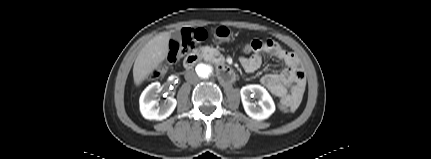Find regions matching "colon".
<instances>
[{
    "mask_svg": "<svg viewBox=\"0 0 431 159\" xmlns=\"http://www.w3.org/2000/svg\"><path fill=\"white\" fill-rule=\"evenodd\" d=\"M205 38V32L201 29L187 30L182 34L180 40H172L169 45L168 61L175 62L179 57L184 55L189 48L196 42L202 41ZM252 51L251 41L245 43L241 47V52L249 54ZM160 75V71H154L149 75V79H155ZM276 109L281 113L287 112V106L282 102L276 104Z\"/></svg>",
    "mask_w": 431,
    "mask_h": 159,
    "instance_id": "obj_1",
    "label": "colon"
}]
</instances>
